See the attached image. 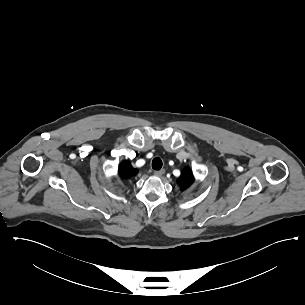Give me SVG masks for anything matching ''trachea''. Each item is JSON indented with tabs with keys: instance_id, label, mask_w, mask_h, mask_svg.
<instances>
[{
	"instance_id": "obj_1",
	"label": "trachea",
	"mask_w": 305,
	"mask_h": 305,
	"mask_svg": "<svg viewBox=\"0 0 305 305\" xmlns=\"http://www.w3.org/2000/svg\"><path fill=\"white\" fill-rule=\"evenodd\" d=\"M152 168L154 170H160L162 168V160L159 157H155L152 160Z\"/></svg>"
}]
</instances>
